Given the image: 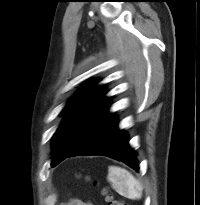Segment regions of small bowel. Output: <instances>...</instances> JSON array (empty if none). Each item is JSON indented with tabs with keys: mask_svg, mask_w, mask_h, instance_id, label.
I'll return each instance as SVG.
<instances>
[{
	"mask_svg": "<svg viewBox=\"0 0 200 205\" xmlns=\"http://www.w3.org/2000/svg\"><path fill=\"white\" fill-rule=\"evenodd\" d=\"M70 205H93V204H91L89 202H83V201H80V200H75Z\"/></svg>",
	"mask_w": 200,
	"mask_h": 205,
	"instance_id": "c3829d8e",
	"label": "small bowel"
}]
</instances>
